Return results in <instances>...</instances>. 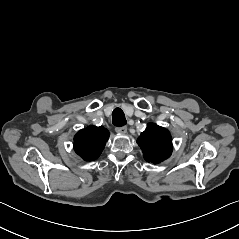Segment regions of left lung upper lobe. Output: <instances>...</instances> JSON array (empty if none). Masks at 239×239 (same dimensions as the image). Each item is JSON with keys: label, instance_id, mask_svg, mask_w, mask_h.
<instances>
[{"label": "left lung upper lobe", "instance_id": "1", "mask_svg": "<svg viewBox=\"0 0 239 239\" xmlns=\"http://www.w3.org/2000/svg\"><path fill=\"white\" fill-rule=\"evenodd\" d=\"M147 162L158 164L170 157L172 138L169 131L154 123H149L137 140Z\"/></svg>", "mask_w": 239, "mask_h": 239}]
</instances>
